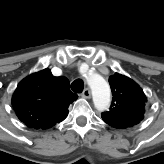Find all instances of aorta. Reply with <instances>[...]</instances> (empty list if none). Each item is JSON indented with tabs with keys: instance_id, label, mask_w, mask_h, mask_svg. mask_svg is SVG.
<instances>
[{
	"instance_id": "762f6f07",
	"label": "aorta",
	"mask_w": 164,
	"mask_h": 164,
	"mask_svg": "<svg viewBox=\"0 0 164 164\" xmlns=\"http://www.w3.org/2000/svg\"><path fill=\"white\" fill-rule=\"evenodd\" d=\"M94 104L99 109H106L110 104L111 92L108 84L101 78L89 82Z\"/></svg>"
}]
</instances>
